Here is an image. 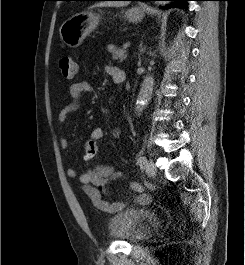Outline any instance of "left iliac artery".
<instances>
[{
	"instance_id": "obj_1",
	"label": "left iliac artery",
	"mask_w": 245,
	"mask_h": 265,
	"mask_svg": "<svg viewBox=\"0 0 245 265\" xmlns=\"http://www.w3.org/2000/svg\"><path fill=\"white\" fill-rule=\"evenodd\" d=\"M147 162L146 157L141 156L137 159V164L143 166Z\"/></svg>"
}]
</instances>
